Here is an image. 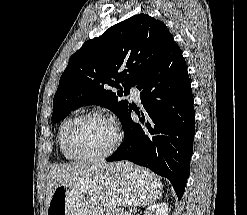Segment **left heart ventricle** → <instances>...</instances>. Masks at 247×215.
I'll return each instance as SVG.
<instances>
[{"label": "left heart ventricle", "instance_id": "obj_1", "mask_svg": "<svg viewBox=\"0 0 247 215\" xmlns=\"http://www.w3.org/2000/svg\"><path fill=\"white\" fill-rule=\"evenodd\" d=\"M115 131L108 122L89 118L82 121L75 133L76 149L83 154H97L107 150L113 143Z\"/></svg>", "mask_w": 247, "mask_h": 215}]
</instances>
